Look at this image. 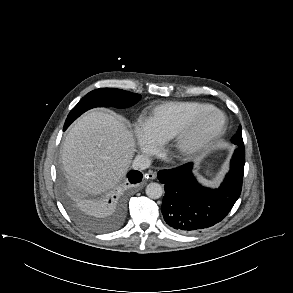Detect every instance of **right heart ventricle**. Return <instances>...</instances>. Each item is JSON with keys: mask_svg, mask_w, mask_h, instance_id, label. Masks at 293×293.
Wrapping results in <instances>:
<instances>
[{"mask_svg": "<svg viewBox=\"0 0 293 293\" xmlns=\"http://www.w3.org/2000/svg\"><path fill=\"white\" fill-rule=\"evenodd\" d=\"M213 107L195 101H171L155 106L144 117L149 130L161 141L170 140L196 113Z\"/></svg>", "mask_w": 293, "mask_h": 293, "instance_id": "obj_1", "label": "right heart ventricle"}]
</instances>
